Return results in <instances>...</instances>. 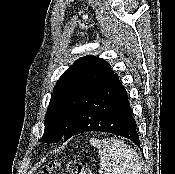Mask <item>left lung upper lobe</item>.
<instances>
[{
	"mask_svg": "<svg viewBox=\"0 0 175 174\" xmlns=\"http://www.w3.org/2000/svg\"><path fill=\"white\" fill-rule=\"evenodd\" d=\"M113 73L109 63L95 56L82 57L70 66L54 87L41 141L61 140L78 102Z\"/></svg>",
	"mask_w": 175,
	"mask_h": 174,
	"instance_id": "5c2ea615",
	"label": "left lung upper lobe"
}]
</instances>
